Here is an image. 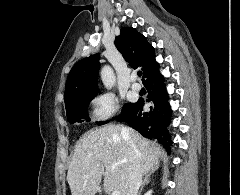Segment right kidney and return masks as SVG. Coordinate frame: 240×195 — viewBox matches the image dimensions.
Here are the masks:
<instances>
[{
    "label": "right kidney",
    "mask_w": 240,
    "mask_h": 195,
    "mask_svg": "<svg viewBox=\"0 0 240 195\" xmlns=\"http://www.w3.org/2000/svg\"><path fill=\"white\" fill-rule=\"evenodd\" d=\"M144 195H152V189H149V191H146V193H144Z\"/></svg>",
    "instance_id": "right-kidney-1"
}]
</instances>
